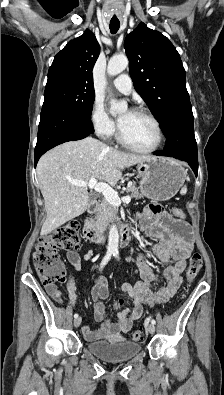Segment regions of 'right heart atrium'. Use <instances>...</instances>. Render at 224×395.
I'll list each match as a JSON object with an SVG mask.
<instances>
[{"mask_svg": "<svg viewBox=\"0 0 224 395\" xmlns=\"http://www.w3.org/2000/svg\"><path fill=\"white\" fill-rule=\"evenodd\" d=\"M91 124L96 133L102 137L108 138L115 133V124L107 114L104 104L100 100H95L90 113Z\"/></svg>", "mask_w": 224, "mask_h": 395, "instance_id": "right-heart-atrium-1", "label": "right heart atrium"}]
</instances>
